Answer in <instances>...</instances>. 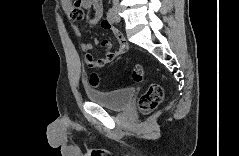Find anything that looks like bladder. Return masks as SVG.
Wrapping results in <instances>:
<instances>
[{"mask_svg":"<svg viewBox=\"0 0 239 156\" xmlns=\"http://www.w3.org/2000/svg\"><path fill=\"white\" fill-rule=\"evenodd\" d=\"M135 94L133 88H122L110 91L86 89L88 99L111 111H121L132 101Z\"/></svg>","mask_w":239,"mask_h":156,"instance_id":"obj_1","label":"bladder"}]
</instances>
